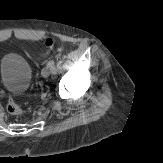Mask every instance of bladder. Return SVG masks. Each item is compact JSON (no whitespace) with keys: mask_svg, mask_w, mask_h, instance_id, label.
I'll return each instance as SVG.
<instances>
[{"mask_svg":"<svg viewBox=\"0 0 163 163\" xmlns=\"http://www.w3.org/2000/svg\"><path fill=\"white\" fill-rule=\"evenodd\" d=\"M32 68L21 55L8 53L0 58V84L9 93H25L31 82Z\"/></svg>","mask_w":163,"mask_h":163,"instance_id":"bladder-1","label":"bladder"}]
</instances>
